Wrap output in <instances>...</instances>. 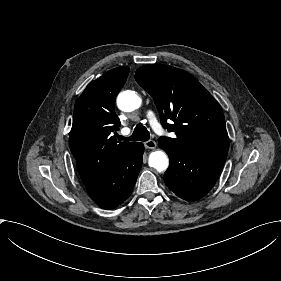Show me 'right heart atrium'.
I'll return each instance as SVG.
<instances>
[{
  "label": "right heart atrium",
  "instance_id": "obj_1",
  "mask_svg": "<svg viewBox=\"0 0 281 281\" xmlns=\"http://www.w3.org/2000/svg\"><path fill=\"white\" fill-rule=\"evenodd\" d=\"M122 93H123V92H121V93L118 95V97L121 96ZM124 97H126V96H124ZM117 99H118V98H117Z\"/></svg>",
  "mask_w": 281,
  "mask_h": 281
}]
</instances>
